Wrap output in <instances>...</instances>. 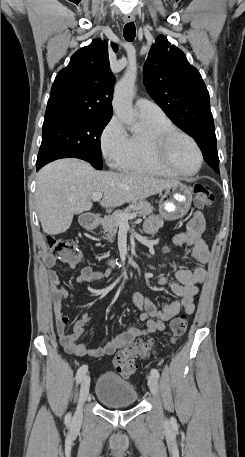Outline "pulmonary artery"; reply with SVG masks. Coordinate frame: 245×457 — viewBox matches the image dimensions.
Returning a JSON list of instances; mask_svg holds the SVG:
<instances>
[{
	"instance_id": "1",
	"label": "pulmonary artery",
	"mask_w": 245,
	"mask_h": 457,
	"mask_svg": "<svg viewBox=\"0 0 245 457\" xmlns=\"http://www.w3.org/2000/svg\"><path fill=\"white\" fill-rule=\"evenodd\" d=\"M135 109L142 118H151L164 115L163 110L157 104L138 98L135 100Z\"/></svg>"
}]
</instances>
